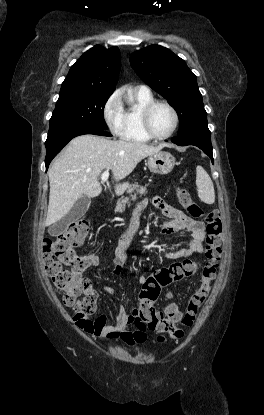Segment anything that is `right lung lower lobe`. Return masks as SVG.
Wrapping results in <instances>:
<instances>
[{"mask_svg": "<svg viewBox=\"0 0 264 415\" xmlns=\"http://www.w3.org/2000/svg\"><path fill=\"white\" fill-rule=\"evenodd\" d=\"M84 134H94V135H101V136H111L110 133L103 131L101 129L96 128H87L72 132L64 137L59 138L58 140L47 144L46 145V158H45V165L46 170L49 167L50 162L52 159L63 149V147L74 137Z\"/></svg>", "mask_w": 264, "mask_h": 415, "instance_id": "obj_1", "label": "right lung lower lobe"}]
</instances>
